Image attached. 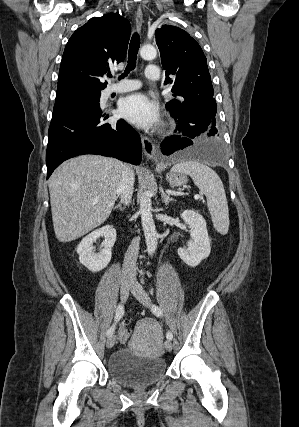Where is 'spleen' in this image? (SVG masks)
<instances>
[{"mask_svg": "<svg viewBox=\"0 0 299 427\" xmlns=\"http://www.w3.org/2000/svg\"><path fill=\"white\" fill-rule=\"evenodd\" d=\"M172 172L188 174L194 184L207 198V207L216 231L226 235L229 229V210L227 198L221 179L206 164L194 160L181 161L175 164Z\"/></svg>", "mask_w": 299, "mask_h": 427, "instance_id": "spleen-1", "label": "spleen"}]
</instances>
